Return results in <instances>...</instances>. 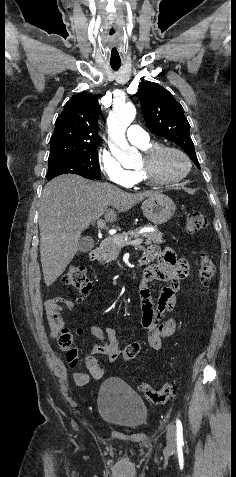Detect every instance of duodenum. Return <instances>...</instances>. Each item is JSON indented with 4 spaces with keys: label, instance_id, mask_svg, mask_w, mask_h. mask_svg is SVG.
<instances>
[{
    "label": "duodenum",
    "instance_id": "410a0bca",
    "mask_svg": "<svg viewBox=\"0 0 236 477\" xmlns=\"http://www.w3.org/2000/svg\"><path fill=\"white\" fill-rule=\"evenodd\" d=\"M98 254H99V248L95 247L90 251L89 257L92 261H95L98 258ZM145 263L146 261L143 258L139 259L140 265H143ZM141 278H142V275L140 273H135L133 276L134 281H140Z\"/></svg>",
    "mask_w": 236,
    "mask_h": 477
}]
</instances>
